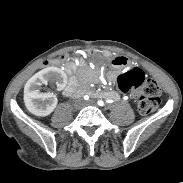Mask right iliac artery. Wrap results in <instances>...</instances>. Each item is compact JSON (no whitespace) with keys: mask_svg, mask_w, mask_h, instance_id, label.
<instances>
[{"mask_svg":"<svg viewBox=\"0 0 183 183\" xmlns=\"http://www.w3.org/2000/svg\"><path fill=\"white\" fill-rule=\"evenodd\" d=\"M84 99H85V100H88V99H89V96H88V95H85V96H84Z\"/></svg>","mask_w":183,"mask_h":183,"instance_id":"1","label":"right iliac artery"}]
</instances>
